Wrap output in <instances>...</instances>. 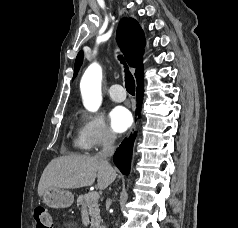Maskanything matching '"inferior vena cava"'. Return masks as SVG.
<instances>
[{"instance_id": "602c4592", "label": "inferior vena cava", "mask_w": 238, "mask_h": 228, "mask_svg": "<svg viewBox=\"0 0 238 228\" xmlns=\"http://www.w3.org/2000/svg\"><path fill=\"white\" fill-rule=\"evenodd\" d=\"M114 142L115 137L112 133H107L106 138L103 143L102 150L96 155L98 158L102 159L104 162L108 163V158L111 157L114 153Z\"/></svg>"}]
</instances>
